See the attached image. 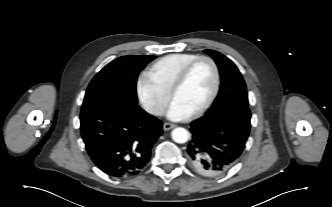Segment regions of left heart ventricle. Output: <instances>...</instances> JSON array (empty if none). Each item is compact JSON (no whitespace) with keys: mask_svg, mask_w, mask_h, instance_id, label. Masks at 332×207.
Listing matches in <instances>:
<instances>
[{"mask_svg":"<svg viewBox=\"0 0 332 207\" xmlns=\"http://www.w3.org/2000/svg\"><path fill=\"white\" fill-rule=\"evenodd\" d=\"M214 84V73L206 61L197 63L185 83L176 91L173 99L189 111L198 109L209 97Z\"/></svg>","mask_w":332,"mask_h":207,"instance_id":"left-heart-ventricle-1","label":"left heart ventricle"}]
</instances>
